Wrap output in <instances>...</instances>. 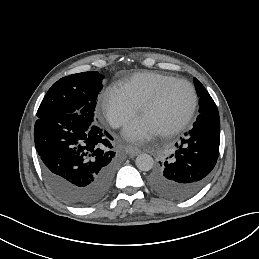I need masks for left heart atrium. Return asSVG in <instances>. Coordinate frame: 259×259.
I'll list each match as a JSON object with an SVG mask.
<instances>
[{"instance_id":"obj_1","label":"left heart atrium","mask_w":259,"mask_h":259,"mask_svg":"<svg viewBox=\"0 0 259 259\" xmlns=\"http://www.w3.org/2000/svg\"><path fill=\"white\" fill-rule=\"evenodd\" d=\"M124 135L131 140L142 142L148 138V132L140 120H135L124 129Z\"/></svg>"}]
</instances>
